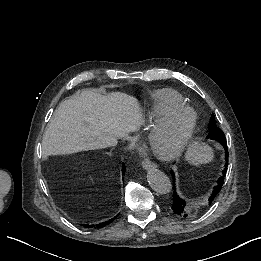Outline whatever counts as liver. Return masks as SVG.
Listing matches in <instances>:
<instances>
[{"label": "liver", "instance_id": "6515ba94", "mask_svg": "<svg viewBox=\"0 0 261 261\" xmlns=\"http://www.w3.org/2000/svg\"><path fill=\"white\" fill-rule=\"evenodd\" d=\"M138 100L122 92H76L55 110L43 135L44 151L71 154L117 145L144 125Z\"/></svg>", "mask_w": 261, "mask_h": 261}]
</instances>
